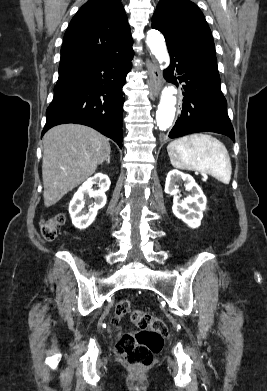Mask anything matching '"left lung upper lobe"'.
I'll list each match as a JSON object with an SVG mask.
<instances>
[{"mask_svg": "<svg viewBox=\"0 0 267 391\" xmlns=\"http://www.w3.org/2000/svg\"><path fill=\"white\" fill-rule=\"evenodd\" d=\"M152 27L163 33L167 44L217 61L210 28L193 2L160 0L152 17Z\"/></svg>", "mask_w": 267, "mask_h": 391, "instance_id": "obj_1", "label": "left lung upper lobe"}]
</instances>
